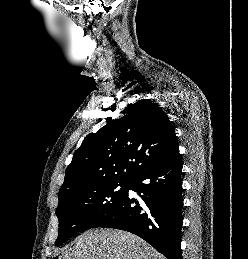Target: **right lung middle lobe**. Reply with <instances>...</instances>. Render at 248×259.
<instances>
[{
  "label": "right lung middle lobe",
  "mask_w": 248,
  "mask_h": 259,
  "mask_svg": "<svg viewBox=\"0 0 248 259\" xmlns=\"http://www.w3.org/2000/svg\"><path fill=\"white\" fill-rule=\"evenodd\" d=\"M130 181L113 180L92 183L68 191L57 208L61 245L79 231L98 227L114 213L128 191Z\"/></svg>",
  "instance_id": "dd1d6c3e"
}]
</instances>
